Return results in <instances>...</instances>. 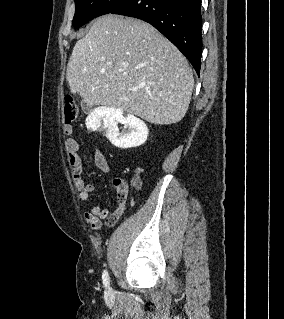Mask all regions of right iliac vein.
<instances>
[{
  "label": "right iliac vein",
  "mask_w": 284,
  "mask_h": 319,
  "mask_svg": "<svg viewBox=\"0 0 284 319\" xmlns=\"http://www.w3.org/2000/svg\"><path fill=\"white\" fill-rule=\"evenodd\" d=\"M110 292H111V290H110V288H109L108 293H110Z\"/></svg>",
  "instance_id": "right-iliac-vein-1"
}]
</instances>
